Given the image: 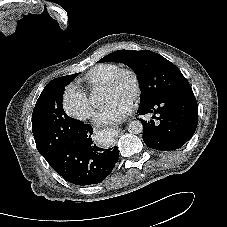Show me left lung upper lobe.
Listing matches in <instances>:
<instances>
[{
	"label": "left lung upper lobe",
	"instance_id": "5c2ea615",
	"mask_svg": "<svg viewBox=\"0 0 227 227\" xmlns=\"http://www.w3.org/2000/svg\"><path fill=\"white\" fill-rule=\"evenodd\" d=\"M99 62H121L133 69L141 90L139 106L172 95L192 92L187 79L173 63L149 50H118Z\"/></svg>",
	"mask_w": 227,
	"mask_h": 227
}]
</instances>
